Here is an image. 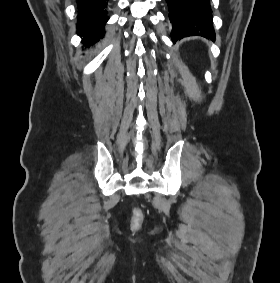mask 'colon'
Listing matches in <instances>:
<instances>
[{
  "instance_id": "1",
  "label": "colon",
  "mask_w": 280,
  "mask_h": 283,
  "mask_svg": "<svg viewBox=\"0 0 280 283\" xmlns=\"http://www.w3.org/2000/svg\"><path fill=\"white\" fill-rule=\"evenodd\" d=\"M143 220H144V216H143L142 212L138 209L134 210L133 216H132V219H131V227L134 230L139 229L143 224Z\"/></svg>"
}]
</instances>
